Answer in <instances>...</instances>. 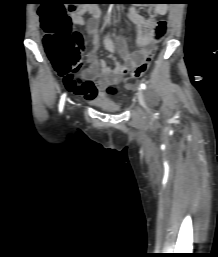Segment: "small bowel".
Returning a JSON list of instances; mask_svg holds the SVG:
<instances>
[{
    "instance_id": "1",
    "label": "small bowel",
    "mask_w": 218,
    "mask_h": 257,
    "mask_svg": "<svg viewBox=\"0 0 218 257\" xmlns=\"http://www.w3.org/2000/svg\"><path fill=\"white\" fill-rule=\"evenodd\" d=\"M166 12L167 6L163 4L157 5L153 10V13L159 15H164ZM85 14L91 15L87 22L84 19ZM124 15L137 27V49L129 52L125 39L118 35L116 40L117 47L121 52L120 61L115 54L116 46L114 41L109 35L104 36L102 40L104 47L108 52V58L114 64V67L110 68L104 60L98 59L96 55L99 46L97 35L101 29L99 8L95 5H82L71 13V21L74 24L86 25L88 34L93 38V43L88 55V66L80 75H75L71 80L64 78L65 85L70 92L84 97L88 101H93L100 97L106 98L103 95L106 83L121 82L130 70H133L153 53L156 42L165 33L166 23L161 21L150 25L145 17L134 8H129Z\"/></svg>"
}]
</instances>
